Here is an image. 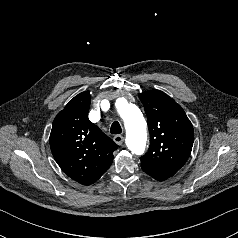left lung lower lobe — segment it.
<instances>
[{"label": "left lung lower lobe", "instance_id": "0a47b994", "mask_svg": "<svg viewBox=\"0 0 238 238\" xmlns=\"http://www.w3.org/2000/svg\"><path fill=\"white\" fill-rule=\"evenodd\" d=\"M147 174L150 175L151 177L155 178V179L158 180V181H163V180H165V178L156 177V176H154V175H151L150 173H147Z\"/></svg>", "mask_w": 238, "mask_h": 238}]
</instances>
